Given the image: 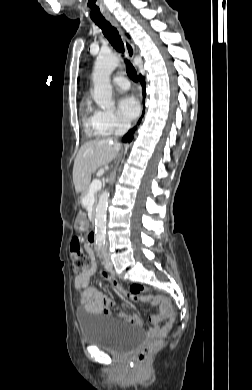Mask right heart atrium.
<instances>
[{
    "label": "right heart atrium",
    "instance_id": "d8ad5b80",
    "mask_svg": "<svg viewBox=\"0 0 252 390\" xmlns=\"http://www.w3.org/2000/svg\"><path fill=\"white\" fill-rule=\"evenodd\" d=\"M93 119L94 130L100 136H111L127 128V123L112 111L97 110Z\"/></svg>",
    "mask_w": 252,
    "mask_h": 390
}]
</instances>
